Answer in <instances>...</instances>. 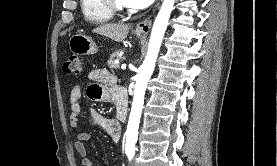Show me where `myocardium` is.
<instances>
[{
    "label": "myocardium",
    "instance_id": "myocardium-1",
    "mask_svg": "<svg viewBox=\"0 0 277 166\" xmlns=\"http://www.w3.org/2000/svg\"><path fill=\"white\" fill-rule=\"evenodd\" d=\"M103 2L114 15H119L126 12L124 4L119 0H103Z\"/></svg>",
    "mask_w": 277,
    "mask_h": 166
}]
</instances>
